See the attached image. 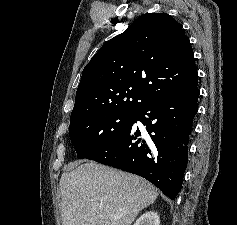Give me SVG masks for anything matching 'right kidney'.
Segmentation results:
<instances>
[{
	"instance_id": "ca27d5eb",
	"label": "right kidney",
	"mask_w": 237,
	"mask_h": 225,
	"mask_svg": "<svg viewBox=\"0 0 237 225\" xmlns=\"http://www.w3.org/2000/svg\"><path fill=\"white\" fill-rule=\"evenodd\" d=\"M134 225H160V219L157 212L149 211L142 214Z\"/></svg>"
}]
</instances>
